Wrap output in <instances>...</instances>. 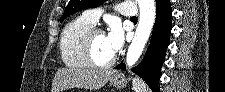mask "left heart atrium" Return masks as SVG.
Wrapping results in <instances>:
<instances>
[{
  "label": "left heart atrium",
  "instance_id": "obj_1",
  "mask_svg": "<svg viewBox=\"0 0 225 92\" xmlns=\"http://www.w3.org/2000/svg\"><path fill=\"white\" fill-rule=\"evenodd\" d=\"M106 38L111 53L115 55L123 44V31L121 26L118 23H113L106 34Z\"/></svg>",
  "mask_w": 225,
  "mask_h": 92
}]
</instances>
